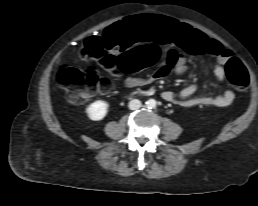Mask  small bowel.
Here are the masks:
<instances>
[{
	"mask_svg": "<svg viewBox=\"0 0 258 206\" xmlns=\"http://www.w3.org/2000/svg\"><path fill=\"white\" fill-rule=\"evenodd\" d=\"M101 41L113 53H119L124 49V45L116 39V28L110 27L106 30L103 38L92 37L87 41ZM166 43L173 44L174 48L166 51L165 63L158 68L152 75L146 78L126 77L123 84L126 87L133 88L151 83L154 80L162 79L171 73L182 74L187 71L188 63L181 55L179 50L191 53H207L216 58V64L213 67V74L222 81L225 78V64L232 57L231 50L225 48L220 42L209 39L202 32L191 28L190 26L179 24L178 32L172 36H166ZM198 90L196 84L188 85L183 88L178 97L173 91H164L162 98L170 103L182 106H218L225 107L230 105L234 100V93L231 89H226L219 95H202L193 96Z\"/></svg>",
	"mask_w": 258,
	"mask_h": 206,
	"instance_id": "small-bowel-1",
	"label": "small bowel"
}]
</instances>
